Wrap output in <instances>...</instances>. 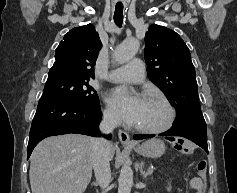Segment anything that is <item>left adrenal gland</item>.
<instances>
[{
  "instance_id": "1",
  "label": "left adrenal gland",
  "mask_w": 237,
  "mask_h": 193,
  "mask_svg": "<svg viewBox=\"0 0 237 193\" xmlns=\"http://www.w3.org/2000/svg\"><path fill=\"white\" fill-rule=\"evenodd\" d=\"M143 167H144V163L141 162L140 163V173L141 175L143 176L144 179L147 178V176L151 175L152 174V171L150 169H148L146 172L143 170Z\"/></svg>"
}]
</instances>
